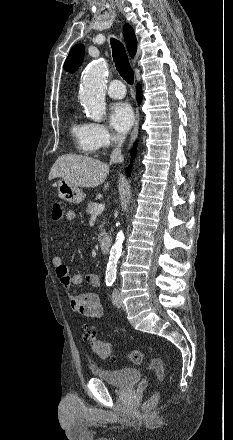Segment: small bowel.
Here are the masks:
<instances>
[{"instance_id": "1", "label": "small bowel", "mask_w": 233, "mask_h": 440, "mask_svg": "<svg viewBox=\"0 0 233 440\" xmlns=\"http://www.w3.org/2000/svg\"><path fill=\"white\" fill-rule=\"evenodd\" d=\"M65 217L67 221L74 222L76 220V213L73 210H69L66 212ZM52 264L55 275L68 298L70 308L74 312L89 318H101L103 316V307L96 293L91 291L73 293L71 290V286L80 285L84 280L93 288L99 287L101 283L99 275L92 272L85 275L78 272L70 274L68 267L59 255L53 258Z\"/></svg>"}]
</instances>
